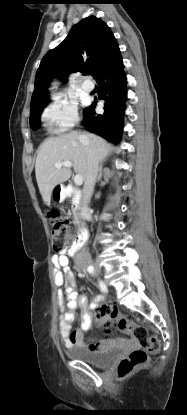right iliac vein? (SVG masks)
<instances>
[{"label":"right iliac vein","mask_w":187,"mask_h":415,"mask_svg":"<svg viewBox=\"0 0 187 415\" xmlns=\"http://www.w3.org/2000/svg\"><path fill=\"white\" fill-rule=\"evenodd\" d=\"M94 268H95V272L97 274H100L101 273V268L99 266H95Z\"/></svg>","instance_id":"obj_1"}]
</instances>
